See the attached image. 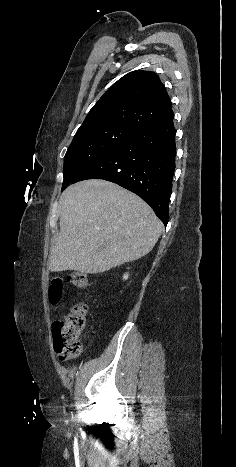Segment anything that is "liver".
Wrapping results in <instances>:
<instances>
[{
  "instance_id": "6515ba94",
  "label": "liver",
  "mask_w": 236,
  "mask_h": 467,
  "mask_svg": "<svg viewBox=\"0 0 236 467\" xmlns=\"http://www.w3.org/2000/svg\"><path fill=\"white\" fill-rule=\"evenodd\" d=\"M60 231L48 265L52 272L96 274L148 254L163 230L134 193L105 180L69 186L59 200Z\"/></svg>"
}]
</instances>
